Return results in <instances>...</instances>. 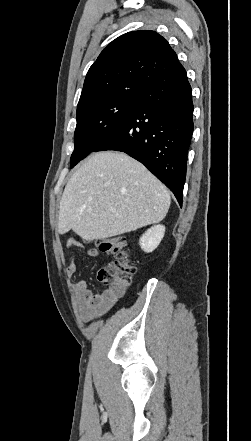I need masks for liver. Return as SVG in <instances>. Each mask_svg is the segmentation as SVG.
Here are the masks:
<instances>
[{
	"mask_svg": "<svg viewBox=\"0 0 251 441\" xmlns=\"http://www.w3.org/2000/svg\"><path fill=\"white\" fill-rule=\"evenodd\" d=\"M170 201L167 188L135 159L95 153L64 189L58 231L73 230L85 240L121 235L163 220Z\"/></svg>",
	"mask_w": 251,
	"mask_h": 441,
	"instance_id": "6515ba94",
	"label": "liver"
}]
</instances>
